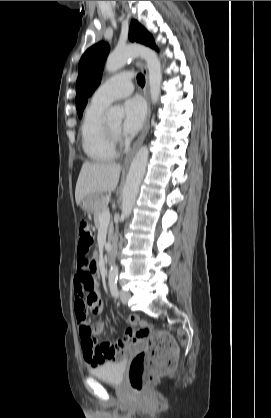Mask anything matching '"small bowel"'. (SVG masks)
I'll list each match as a JSON object with an SVG mask.
<instances>
[{"label": "small bowel", "mask_w": 271, "mask_h": 418, "mask_svg": "<svg viewBox=\"0 0 271 418\" xmlns=\"http://www.w3.org/2000/svg\"><path fill=\"white\" fill-rule=\"evenodd\" d=\"M98 260L91 256L76 257V275L74 277V308L76 322L79 326L83 358L92 367L105 362L116 361L122 354L132 349L131 340H135L134 330H126L123 339L113 344L106 340L98 344V337L104 331L103 323L90 326L88 311L99 314L103 310V302L97 286ZM89 329V333L84 331Z\"/></svg>", "instance_id": "1"}]
</instances>
